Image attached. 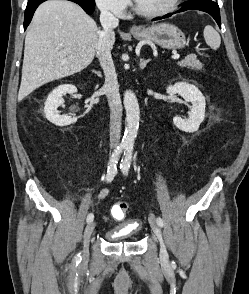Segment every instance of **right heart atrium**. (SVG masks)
<instances>
[{
	"mask_svg": "<svg viewBox=\"0 0 249 294\" xmlns=\"http://www.w3.org/2000/svg\"><path fill=\"white\" fill-rule=\"evenodd\" d=\"M97 7L115 16H123L129 6V0H94Z\"/></svg>",
	"mask_w": 249,
	"mask_h": 294,
	"instance_id": "right-heart-atrium-1",
	"label": "right heart atrium"
}]
</instances>
